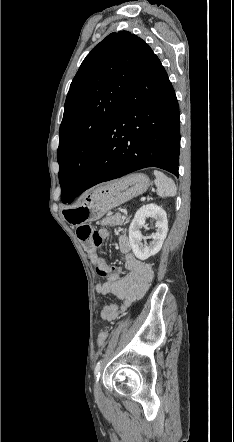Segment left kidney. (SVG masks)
<instances>
[{
    "instance_id": "1",
    "label": "left kidney",
    "mask_w": 234,
    "mask_h": 442,
    "mask_svg": "<svg viewBox=\"0 0 234 442\" xmlns=\"http://www.w3.org/2000/svg\"><path fill=\"white\" fill-rule=\"evenodd\" d=\"M147 217L156 220L155 227L157 228L156 232L151 235L153 241L149 245L146 242L142 243L143 237L140 232V228L144 226ZM167 232L168 220L165 210L156 204L142 206L137 210L129 227V241L134 255L140 260H146L157 254L163 245Z\"/></svg>"
}]
</instances>
